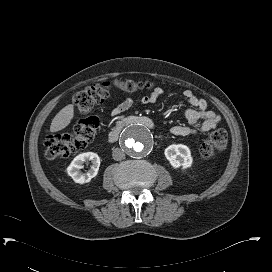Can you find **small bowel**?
Returning <instances> with one entry per match:
<instances>
[{
  "label": "small bowel",
  "instance_id": "small-bowel-1",
  "mask_svg": "<svg viewBox=\"0 0 272 272\" xmlns=\"http://www.w3.org/2000/svg\"><path fill=\"white\" fill-rule=\"evenodd\" d=\"M161 88H155L149 95L144 96L141 99L143 104H154L162 95ZM184 97L186 101L191 105L184 111V116L188 121V125H178L171 128V133L177 136H186L194 134L196 132H208L214 128H217L221 124V117L214 111L208 108V104L205 99L198 97L193 91L185 90ZM133 101L126 99L118 104L113 114L118 115L129 108H131Z\"/></svg>",
  "mask_w": 272,
  "mask_h": 272
}]
</instances>
